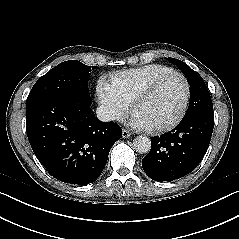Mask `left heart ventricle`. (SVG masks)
Segmentation results:
<instances>
[{"instance_id":"left-heart-ventricle-1","label":"left heart ventricle","mask_w":239,"mask_h":239,"mask_svg":"<svg viewBox=\"0 0 239 239\" xmlns=\"http://www.w3.org/2000/svg\"><path fill=\"white\" fill-rule=\"evenodd\" d=\"M184 97L183 80L177 76H170L163 80L153 94L137 107L135 116L148 127L166 124L178 115Z\"/></svg>"}]
</instances>
